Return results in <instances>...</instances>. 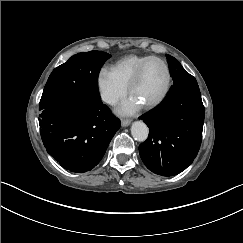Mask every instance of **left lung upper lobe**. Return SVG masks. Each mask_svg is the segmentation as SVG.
I'll return each instance as SVG.
<instances>
[{"label": "left lung upper lobe", "instance_id": "left-lung-upper-lobe-1", "mask_svg": "<svg viewBox=\"0 0 243 243\" xmlns=\"http://www.w3.org/2000/svg\"><path fill=\"white\" fill-rule=\"evenodd\" d=\"M166 57L174 81L170 92L178 88H199L196 79L181 66L178 60L170 55H166Z\"/></svg>", "mask_w": 243, "mask_h": 243}]
</instances>
